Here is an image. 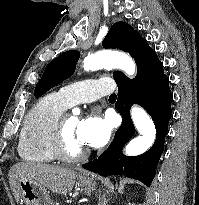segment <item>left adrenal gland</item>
Segmentation results:
<instances>
[{
    "label": "left adrenal gland",
    "mask_w": 199,
    "mask_h": 205,
    "mask_svg": "<svg viewBox=\"0 0 199 205\" xmlns=\"http://www.w3.org/2000/svg\"><path fill=\"white\" fill-rule=\"evenodd\" d=\"M108 202V200L105 198V197H103L102 198V204L101 205H106V203ZM100 205V204H99Z\"/></svg>",
    "instance_id": "a2214340"
}]
</instances>
